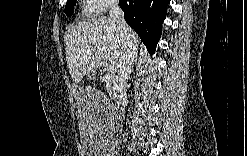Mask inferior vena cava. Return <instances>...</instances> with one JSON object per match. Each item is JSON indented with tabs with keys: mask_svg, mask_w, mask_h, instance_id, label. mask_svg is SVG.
Returning a JSON list of instances; mask_svg holds the SVG:
<instances>
[{
	"mask_svg": "<svg viewBox=\"0 0 247 156\" xmlns=\"http://www.w3.org/2000/svg\"><path fill=\"white\" fill-rule=\"evenodd\" d=\"M109 15L124 39V52L118 67V77L114 93L116 105L122 114H124L127 105L126 84L132 71L135 58L137 57V47L132 41L131 29L125 22L124 13L118 4V1H112L110 3Z\"/></svg>",
	"mask_w": 247,
	"mask_h": 156,
	"instance_id": "inferior-vena-cava-1",
	"label": "inferior vena cava"
}]
</instances>
